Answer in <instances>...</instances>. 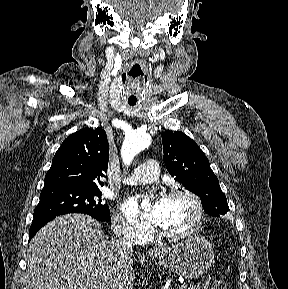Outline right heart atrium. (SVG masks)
Returning a JSON list of instances; mask_svg holds the SVG:
<instances>
[{
  "label": "right heart atrium",
  "mask_w": 288,
  "mask_h": 289,
  "mask_svg": "<svg viewBox=\"0 0 288 289\" xmlns=\"http://www.w3.org/2000/svg\"><path fill=\"white\" fill-rule=\"evenodd\" d=\"M116 233L132 243H141L148 239L150 227L123 213H117L113 219Z\"/></svg>",
  "instance_id": "1"
}]
</instances>
